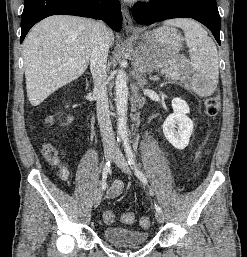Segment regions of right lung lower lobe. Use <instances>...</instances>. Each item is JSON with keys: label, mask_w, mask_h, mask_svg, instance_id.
I'll return each mask as SVG.
<instances>
[{"label": "right lung lower lobe", "mask_w": 247, "mask_h": 257, "mask_svg": "<svg viewBox=\"0 0 247 257\" xmlns=\"http://www.w3.org/2000/svg\"><path fill=\"white\" fill-rule=\"evenodd\" d=\"M58 14L101 19L117 32L122 28L121 6L118 0H25L20 43L34 24Z\"/></svg>", "instance_id": "obj_1"}]
</instances>
